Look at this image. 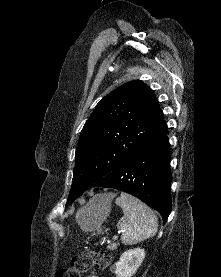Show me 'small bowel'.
<instances>
[{
  "instance_id": "1",
  "label": "small bowel",
  "mask_w": 221,
  "mask_h": 277,
  "mask_svg": "<svg viewBox=\"0 0 221 277\" xmlns=\"http://www.w3.org/2000/svg\"><path fill=\"white\" fill-rule=\"evenodd\" d=\"M88 277H99V276H97V275H89Z\"/></svg>"
}]
</instances>
